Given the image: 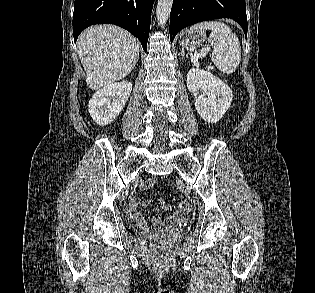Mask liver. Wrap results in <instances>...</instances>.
Wrapping results in <instances>:
<instances>
[{"label": "liver", "instance_id": "obj_1", "mask_svg": "<svg viewBox=\"0 0 315 293\" xmlns=\"http://www.w3.org/2000/svg\"><path fill=\"white\" fill-rule=\"evenodd\" d=\"M77 48L86 72V84L98 90L125 78L139 58V43L114 25H95L78 38Z\"/></svg>", "mask_w": 315, "mask_h": 293}]
</instances>
